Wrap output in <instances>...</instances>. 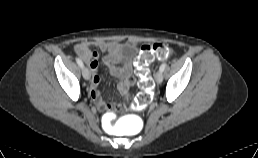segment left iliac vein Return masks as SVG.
I'll list each match as a JSON object with an SVG mask.
<instances>
[{
  "label": "left iliac vein",
  "mask_w": 258,
  "mask_h": 158,
  "mask_svg": "<svg viewBox=\"0 0 258 158\" xmlns=\"http://www.w3.org/2000/svg\"><path fill=\"white\" fill-rule=\"evenodd\" d=\"M155 80L157 83H161L163 81V72L162 71H158L156 74H155Z\"/></svg>",
  "instance_id": "1"
}]
</instances>
